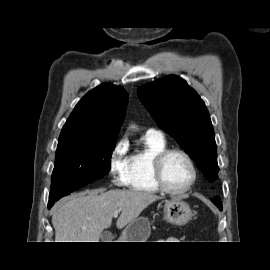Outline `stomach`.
Returning <instances> with one entry per match:
<instances>
[{"label":"stomach","instance_id":"stomach-1","mask_svg":"<svg viewBox=\"0 0 270 270\" xmlns=\"http://www.w3.org/2000/svg\"><path fill=\"white\" fill-rule=\"evenodd\" d=\"M163 218L172 224L182 226L192 218L190 206L179 198L166 200L163 205ZM150 236V222L145 217H138L124 229L123 242H146Z\"/></svg>","mask_w":270,"mask_h":270}]
</instances>
